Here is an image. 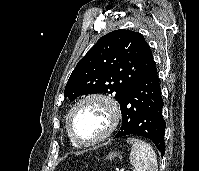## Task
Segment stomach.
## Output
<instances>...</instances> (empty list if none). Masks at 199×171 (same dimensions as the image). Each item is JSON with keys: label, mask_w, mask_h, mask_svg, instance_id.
<instances>
[{"label": "stomach", "mask_w": 199, "mask_h": 171, "mask_svg": "<svg viewBox=\"0 0 199 171\" xmlns=\"http://www.w3.org/2000/svg\"><path fill=\"white\" fill-rule=\"evenodd\" d=\"M119 156V153L117 152H111L108 156L107 159L112 160L114 157Z\"/></svg>", "instance_id": "stomach-1"}]
</instances>
